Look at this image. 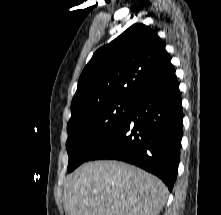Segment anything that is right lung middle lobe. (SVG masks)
<instances>
[{
    "label": "right lung middle lobe",
    "instance_id": "obj_1",
    "mask_svg": "<svg viewBox=\"0 0 221 215\" xmlns=\"http://www.w3.org/2000/svg\"><path fill=\"white\" fill-rule=\"evenodd\" d=\"M132 100L111 99L71 107L66 143L69 155L67 171L85 162L93 150L130 112Z\"/></svg>",
    "mask_w": 221,
    "mask_h": 215
}]
</instances>
